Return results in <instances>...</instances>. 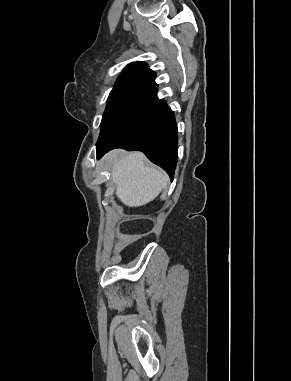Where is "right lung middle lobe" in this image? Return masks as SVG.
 Segmentation results:
<instances>
[{"instance_id": "obj_1", "label": "right lung middle lobe", "mask_w": 291, "mask_h": 381, "mask_svg": "<svg viewBox=\"0 0 291 381\" xmlns=\"http://www.w3.org/2000/svg\"><path fill=\"white\" fill-rule=\"evenodd\" d=\"M141 79H131L115 85L111 91L101 122L98 142H115L120 136V124L134 98Z\"/></svg>"}]
</instances>
